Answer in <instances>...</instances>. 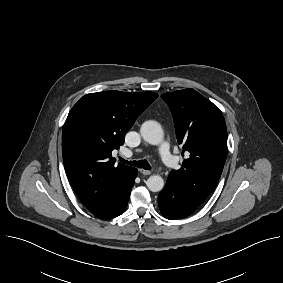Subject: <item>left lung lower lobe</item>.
<instances>
[{"mask_svg": "<svg viewBox=\"0 0 283 283\" xmlns=\"http://www.w3.org/2000/svg\"><path fill=\"white\" fill-rule=\"evenodd\" d=\"M158 205L161 214L170 220L186 217L193 213L199 206L169 177L164 189L158 196Z\"/></svg>", "mask_w": 283, "mask_h": 283, "instance_id": "left-lung-lower-lobe-1", "label": "left lung lower lobe"}]
</instances>
